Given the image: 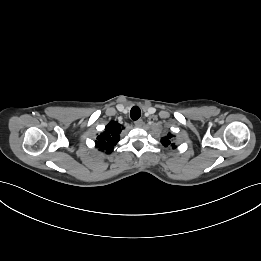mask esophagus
Masks as SVG:
<instances>
[{"label":"esophagus","mask_w":261,"mask_h":261,"mask_svg":"<svg viewBox=\"0 0 261 261\" xmlns=\"http://www.w3.org/2000/svg\"><path fill=\"white\" fill-rule=\"evenodd\" d=\"M143 124H144V122H143V120H141V119L135 121V126H136V127H142Z\"/></svg>","instance_id":"esophagus-1"}]
</instances>
